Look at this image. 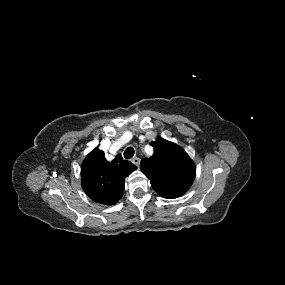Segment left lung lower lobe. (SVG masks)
<instances>
[{
  "label": "left lung lower lobe",
  "mask_w": 285,
  "mask_h": 285,
  "mask_svg": "<svg viewBox=\"0 0 285 285\" xmlns=\"http://www.w3.org/2000/svg\"><path fill=\"white\" fill-rule=\"evenodd\" d=\"M160 195L163 196L164 198L174 199V198L180 197L183 194L174 193V192H164V193H161Z\"/></svg>",
  "instance_id": "0a47b994"
}]
</instances>
